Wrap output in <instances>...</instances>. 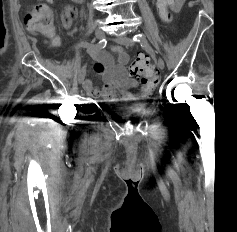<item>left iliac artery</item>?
Returning <instances> with one entry per match:
<instances>
[{"mask_svg": "<svg viewBox=\"0 0 237 232\" xmlns=\"http://www.w3.org/2000/svg\"><path fill=\"white\" fill-rule=\"evenodd\" d=\"M144 35L143 34H137V35H135L134 37H133V40L134 41H138V42H141V41H143L144 40Z\"/></svg>", "mask_w": 237, "mask_h": 232, "instance_id": "obj_1", "label": "left iliac artery"}]
</instances>
